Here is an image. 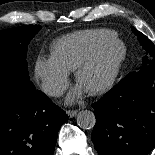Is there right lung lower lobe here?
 <instances>
[{
	"instance_id": "1",
	"label": "right lung lower lobe",
	"mask_w": 155,
	"mask_h": 155,
	"mask_svg": "<svg viewBox=\"0 0 155 155\" xmlns=\"http://www.w3.org/2000/svg\"><path fill=\"white\" fill-rule=\"evenodd\" d=\"M27 98L0 92V155H53L66 113L41 91Z\"/></svg>"
}]
</instances>
